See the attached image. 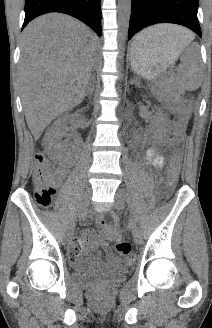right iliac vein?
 <instances>
[{
	"mask_svg": "<svg viewBox=\"0 0 212 328\" xmlns=\"http://www.w3.org/2000/svg\"><path fill=\"white\" fill-rule=\"evenodd\" d=\"M90 198H91V188H87L82 196L80 203H79L78 210H77V216H80L84 213V211L86 210V208L89 205ZM74 229H75V221L71 222V224L68 227L67 240H70V238L72 237Z\"/></svg>",
	"mask_w": 212,
	"mask_h": 328,
	"instance_id": "right-iliac-vein-1",
	"label": "right iliac vein"
}]
</instances>
